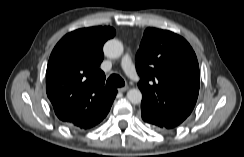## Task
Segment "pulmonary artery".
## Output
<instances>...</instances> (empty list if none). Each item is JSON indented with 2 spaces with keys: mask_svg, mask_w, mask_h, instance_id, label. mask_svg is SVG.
Listing matches in <instances>:
<instances>
[{
  "mask_svg": "<svg viewBox=\"0 0 244 157\" xmlns=\"http://www.w3.org/2000/svg\"><path fill=\"white\" fill-rule=\"evenodd\" d=\"M121 66L123 68V70L125 71V73L132 79V80H135V81H138L139 80V76L136 72V69L132 63V60H131V56L129 53H126L123 58H122V61H121Z\"/></svg>",
  "mask_w": 244,
  "mask_h": 157,
  "instance_id": "1",
  "label": "pulmonary artery"
}]
</instances>
